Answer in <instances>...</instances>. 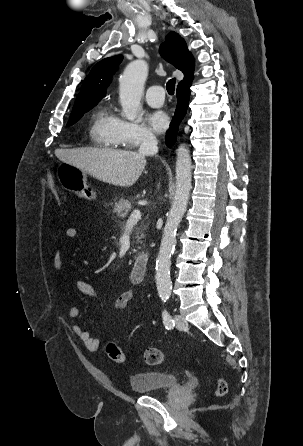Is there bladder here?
Here are the masks:
<instances>
[{
  "label": "bladder",
  "instance_id": "1",
  "mask_svg": "<svg viewBox=\"0 0 303 446\" xmlns=\"http://www.w3.org/2000/svg\"><path fill=\"white\" fill-rule=\"evenodd\" d=\"M180 385L178 377L162 371H145L130 377V388L135 394L167 391Z\"/></svg>",
  "mask_w": 303,
  "mask_h": 446
}]
</instances>
